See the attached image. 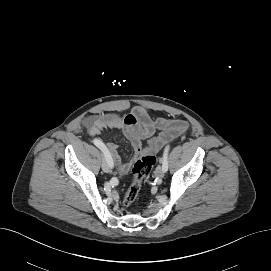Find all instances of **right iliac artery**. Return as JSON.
<instances>
[{
    "label": "right iliac artery",
    "instance_id": "obj_1",
    "mask_svg": "<svg viewBox=\"0 0 271 271\" xmlns=\"http://www.w3.org/2000/svg\"><path fill=\"white\" fill-rule=\"evenodd\" d=\"M93 143L103 152L106 160L108 161L110 167L112 168L113 167V161H112L111 155H110L107 147L104 145V143L99 139H94Z\"/></svg>",
    "mask_w": 271,
    "mask_h": 271
}]
</instances>
